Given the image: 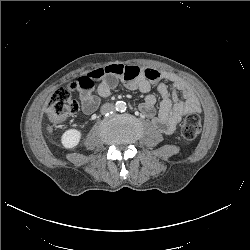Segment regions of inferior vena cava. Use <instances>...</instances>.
Masks as SVG:
<instances>
[{
  "label": "inferior vena cava",
  "mask_w": 250,
  "mask_h": 250,
  "mask_svg": "<svg viewBox=\"0 0 250 250\" xmlns=\"http://www.w3.org/2000/svg\"><path fill=\"white\" fill-rule=\"evenodd\" d=\"M114 109H115V106L113 104L106 103V104L102 105L101 112H102V114H106L108 112L114 111Z\"/></svg>",
  "instance_id": "602c4592"
}]
</instances>
